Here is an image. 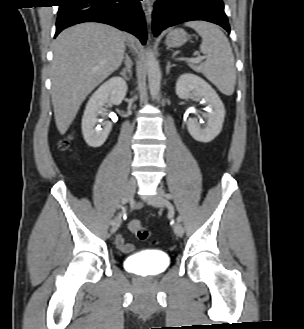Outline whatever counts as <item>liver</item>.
<instances>
[{
    "instance_id": "obj_1",
    "label": "liver",
    "mask_w": 304,
    "mask_h": 329,
    "mask_svg": "<svg viewBox=\"0 0 304 329\" xmlns=\"http://www.w3.org/2000/svg\"><path fill=\"white\" fill-rule=\"evenodd\" d=\"M132 36L101 23H81L62 31L53 44L52 104L60 134H65L87 95L116 71Z\"/></svg>"
}]
</instances>
